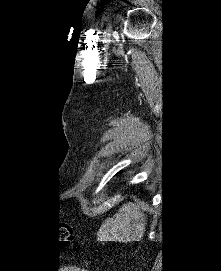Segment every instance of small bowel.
I'll use <instances>...</instances> for the list:
<instances>
[{"label": "small bowel", "mask_w": 221, "mask_h": 271, "mask_svg": "<svg viewBox=\"0 0 221 271\" xmlns=\"http://www.w3.org/2000/svg\"><path fill=\"white\" fill-rule=\"evenodd\" d=\"M72 271H85L83 268L73 267L71 268Z\"/></svg>", "instance_id": "small-bowel-1"}]
</instances>
